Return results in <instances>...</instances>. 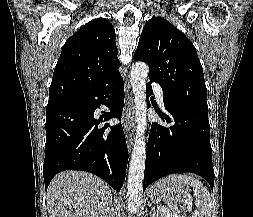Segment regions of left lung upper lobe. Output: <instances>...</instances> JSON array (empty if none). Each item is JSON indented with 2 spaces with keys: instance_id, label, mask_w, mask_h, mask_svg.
<instances>
[{
  "instance_id": "obj_1",
  "label": "left lung upper lobe",
  "mask_w": 253,
  "mask_h": 217,
  "mask_svg": "<svg viewBox=\"0 0 253 217\" xmlns=\"http://www.w3.org/2000/svg\"><path fill=\"white\" fill-rule=\"evenodd\" d=\"M135 59L149 65V79L159 83L163 96L208 108L203 69L192 42L161 17L144 26Z\"/></svg>"
}]
</instances>
